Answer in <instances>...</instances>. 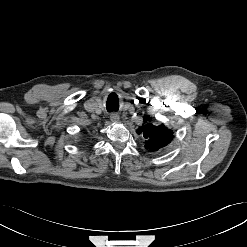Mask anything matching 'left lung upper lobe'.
<instances>
[{
  "instance_id": "5c2ea615",
  "label": "left lung upper lobe",
  "mask_w": 247,
  "mask_h": 247,
  "mask_svg": "<svg viewBox=\"0 0 247 247\" xmlns=\"http://www.w3.org/2000/svg\"><path fill=\"white\" fill-rule=\"evenodd\" d=\"M144 125L137 130V133H142L146 139L145 147L150 152L159 150L168 145L173 136V132L164 125L155 126L150 123V118L144 117Z\"/></svg>"
}]
</instances>
